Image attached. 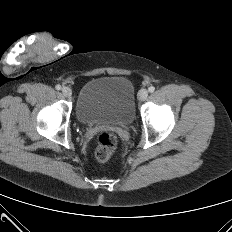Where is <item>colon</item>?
Wrapping results in <instances>:
<instances>
[{
  "instance_id": "5ec220e1",
  "label": "colon",
  "mask_w": 232,
  "mask_h": 232,
  "mask_svg": "<svg viewBox=\"0 0 232 232\" xmlns=\"http://www.w3.org/2000/svg\"><path fill=\"white\" fill-rule=\"evenodd\" d=\"M117 148V139L110 132H102L97 137V146L95 157L98 161L105 162L109 160Z\"/></svg>"
}]
</instances>
